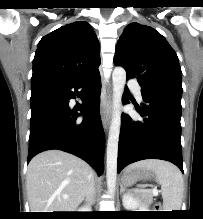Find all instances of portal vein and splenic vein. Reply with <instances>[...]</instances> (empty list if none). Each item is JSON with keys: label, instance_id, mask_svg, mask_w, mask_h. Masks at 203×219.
Segmentation results:
<instances>
[{"label": "portal vein and splenic vein", "instance_id": "portal-vein-and-splenic-vein-1", "mask_svg": "<svg viewBox=\"0 0 203 219\" xmlns=\"http://www.w3.org/2000/svg\"><path fill=\"white\" fill-rule=\"evenodd\" d=\"M136 191H137V192H142V193H143V192H148V190H142V189H140V190L137 189ZM149 191H151L154 195H158V190L155 189V188L152 189V190H149ZM64 198L67 199L68 196H64Z\"/></svg>", "mask_w": 203, "mask_h": 219}]
</instances>
